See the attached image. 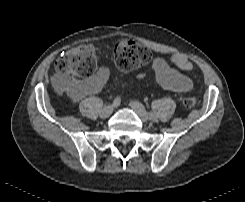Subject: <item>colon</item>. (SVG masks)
Returning <instances> with one entry per match:
<instances>
[{
	"label": "colon",
	"instance_id": "obj_1",
	"mask_svg": "<svg viewBox=\"0 0 245 202\" xmlns=\"http://www.w3.org/2000/svg\"><path fill=\"white\" fill-rule=\"evenodd\" d=\"M114 60L118 68L124 72L146 66L150 61L149 50L131 38H121L114 46ZM97 66V58L90 45H77L61 55L56 63V81L60 90L69 93L75 89L77 78L91 76ZM187 69V67L185 66ZM187 108L198 104L196 97L183 100Z\"/></svg>",
	"mask_w": 245,
	"mask_h": 202
}]
</instances>
